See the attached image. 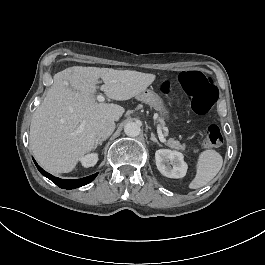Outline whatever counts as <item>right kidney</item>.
<instances>
[{
  "instance_id": "ca27d5eb",
  "label": "right kidney",
  "mask_w": 265,
  "mask_h": 265,
  "mask_svg": "<svg viewBox=\"0 0 265 265\" xmlns=\"http://www.w3.org/2000/svg\"><path fill=\"white\" fill-rule=\"evenodd\" d=\"M81 161H82L83 167L89 168V167H92L96 163L97 156L94 154H88L84 156Z\"/></svg>"
}]
</instances>
